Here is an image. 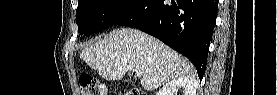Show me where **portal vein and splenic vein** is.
<instances>
[{"label":"portal vein and splenic vein","instance_id":"18ae733b","mask_svg":"<svg viewBox=\"0 0 277 95\" xmlns=\"http://www.w3.org/2000/svg\"><path fill=\"white\" fill-rule=\"evenodd\" d=\"M142 75H143V73L141 71H136L135 72L136 77H141Z\"/></svg>","mask_w":277,"mask_h":95}]
</instances>
